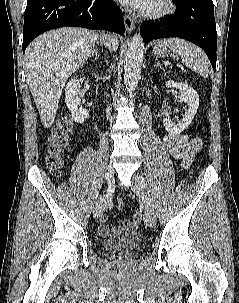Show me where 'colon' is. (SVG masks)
I'll return each instance as SVG.
<instances>
[{
	"label": "colon",
	"mask_w": 239,
	"mask_h": 303,
	"mask_svg": "<svg viewBox=\"0 0 239 303\" xmlns=\"http://www.w3.org/2000/svg\"><path fill=\"white\" fill-rule=\"evenodd\" d=\"M73 121L70 117H63L52 130L48 138V149L46 164L49 171L59 176L65 165V155L69 146V139L72 132ZM115 208L117 211H123L125 203L118 200ZM134 222L138 223L139 219L135 218Z\"/></svg>",
	"instance_id": "colon-1"
}]
</instances>
